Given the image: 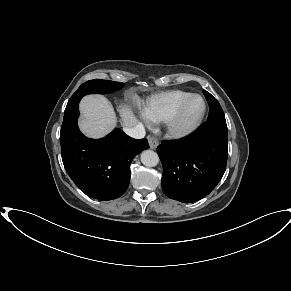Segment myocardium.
<instances>
[{
  "label": "myocardium",
  "instance_id": "myocardium-1",
  "mask_svg": "<svg viewBox=\"0 0 291 291\" xmlns=\"http://www.w3.org/2000/svg\"><path fill=\"white\" fill-rule=\"evenodd\" d=\"M195 98H199L202 101V110L195 121L188 125H183L181 123L182 116L189 103ZM206 111V100L199 94L190 95L166 121L167 134L174 139H182L192 135L201 126L206 115Z\"/></svg>",
  "mask_w": 291,
  "mask_h": 291
}]
</instances>
